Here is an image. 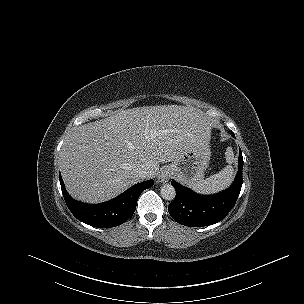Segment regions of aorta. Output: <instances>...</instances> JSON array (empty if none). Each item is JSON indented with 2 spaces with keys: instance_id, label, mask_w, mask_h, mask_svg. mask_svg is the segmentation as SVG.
Masks as SVG:
<instances>
[{
  "instance_id": "762f6f07",
  "label": "aorta",
  "mask_w": 304,
  "mask_h": 304,
  "mask_svg": "<svg viewBox=\"0 0 304 304\" xmlns=\"http://www.w3.org/2000/svg\"><path fill=\"white\" fill-rule=\"evenodd\" d=\"M160 194L163 199L171 201L175 199L176 190L171 184H165L161 187Z\"/></svg>"
}]
</instances>
